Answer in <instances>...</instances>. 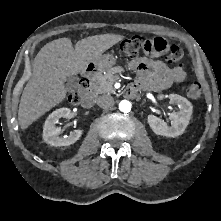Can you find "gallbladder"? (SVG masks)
I'll return each instance as SVG.
<instances>
[{
	"label": "gallbladder",
	"instance_id": "gallbladder-1",
	"mask_svg": "<svg viewBox=\"0 0 221 221\" xmlns=\"http://www.w3.org/2000/svg\"><path fill=\"white\" fill-rule=\"evenodd\" d=\"M78 85V78L75 76H69L67 77L66 83H65V88L67 90H72L75 89Z\"/></svg>",
	"mask_w": 221,
	"mask_h": 221
}]
</instances>
